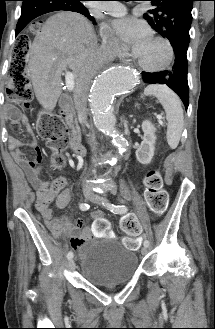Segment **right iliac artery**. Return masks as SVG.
I'll return each instance as SVG.
<instances>
[{"mask_svg":"<svg viewBox=\"0 0 215 329\" xmlns=\"http://www.w3.org/2000/svg\"><path fill=\"white\" fill-rule=\"evenodd\" d=\"M89 205L88 204H86V203H81L80 204V209L82 210V211H86V210H88L89 209ZM67 258H68V260H70V259H72L73 258V252H68V254H67Z\"/></svg>","mask_w":215,"mask_h":329,"instance_id":"right-iliac-artery-1","label":"right iliac artery"}]
</instances>
